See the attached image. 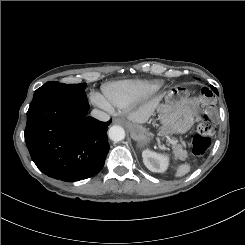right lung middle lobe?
I'll list each match as a JSON object with an SVG mask.
<instances>
[{
	"instance_id": "1",
	"label": "right lung middle lobe",
	"mask_w": 245,
	"mask_h": 245,
	"mask_svg": "<svg viewBox=\"0 0 245 245\" xmlns=\"http://www.w3.org/2000/svg\"><path fill=\"white\" fill-rule=\"evenodd\" d=\"M85 87L86 83L64 84L56 81H49L35 91L34 97L48 90H70L84 92Z\"/></svg>"
}]
</instances>
